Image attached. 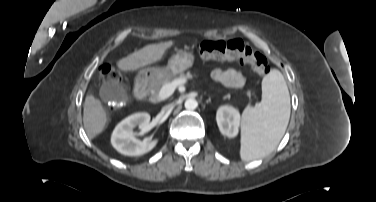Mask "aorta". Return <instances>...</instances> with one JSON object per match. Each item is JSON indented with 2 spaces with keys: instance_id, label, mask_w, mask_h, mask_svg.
I'll list each match as a JSON object with an SVG mask.
<instances>
[{
  "instance_id": "762f6f07",
  "label": "aorta",
  "mask_w": 376,
  "mask_h": 202,
  "mask_svg": "<svg viewBox=\"0 0 376 202\" xmlns=\"http://www.w3.org/2000/svg\"><path fill=\"white\" fill-rule=\"evenodd\" d=\"M198 106V102L196 101V99L194 98H188L186 101H185V108L187 110H194L196 109Z\"/></svg>"
}]
</instances>
